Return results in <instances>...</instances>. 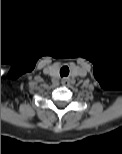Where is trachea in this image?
<instances>
[{
    "label": "trachea",
    "mask_w": 122,
    "mask_h": 154,
    "mask_svg": "<svg viewBox=\"0 0 122 154\" xmlns=\"http://www.w3.org/2000/svg\"><path fill=\"white\" fill-rule=\"evenodd\" d=\"M69 75V68L68 66H63L61 69H60V76L61 77H66Z\"/></svg>",
    "instance_id": "obj_1"
}]
</instances>
